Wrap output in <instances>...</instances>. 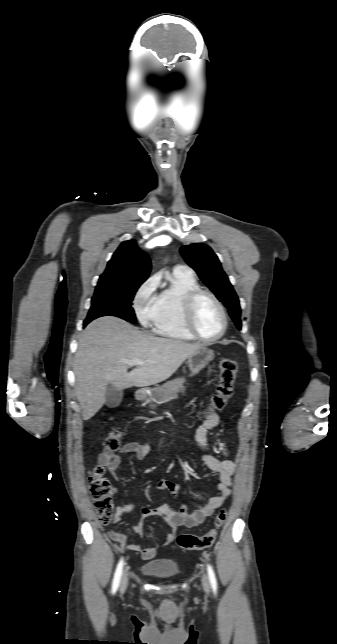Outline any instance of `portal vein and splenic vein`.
Returning a JSON list of instances; mask_svg holds the SVG:
<instances>
[{
	"label": "portal vein and splenic vein",
	"mask_w": 337,
	"mask_h": 644,
	"mask_svg": "<svg viewBox=\"0 0 337 644\" xmlns=\"http://www.w3.org/2000/svg\"><path fill=\"white\" fill-rule=\"evenodd\" d=\"M124 363H126L129 366H135V365H143L146 363V361L133 359V360H125Z\"/></svg>",
	"instance_id": "portal-vein-and-splenic-vein-1"
}]
</instances>
